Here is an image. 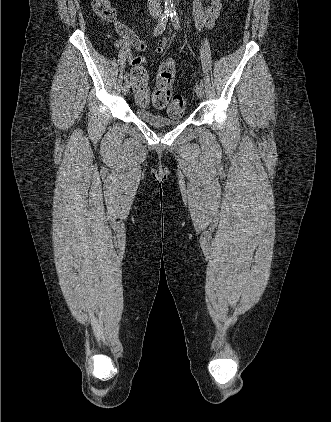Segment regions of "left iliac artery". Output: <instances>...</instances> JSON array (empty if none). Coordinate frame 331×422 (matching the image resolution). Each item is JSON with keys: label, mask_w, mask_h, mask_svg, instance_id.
<instances>
[{"label": "left iliac artery", "mask_w": 331, "mask_h": 422, "mask_svg": "<svg viewBox=\"0 0 331 422\" xmlns=\"http://www.w3.org/2000/svg\"><path fill=\"white\" fill-rule=\"evenodd\" d=\"M170 18H171V22H172L174 29L179 30L180 29V22H179V18H178L176 11L170 12ZM200 84H201V86H204V80L203 79H200Z\"/></svg>", "instance_id": "1"}]
</instances>
